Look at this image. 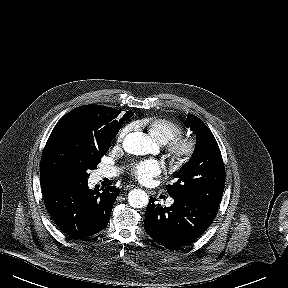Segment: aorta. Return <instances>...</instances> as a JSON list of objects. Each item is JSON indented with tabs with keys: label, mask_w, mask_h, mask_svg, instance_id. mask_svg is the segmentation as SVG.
I'll return each instance as SVG.
<instances>
[{
	"label": "aorta",
	"mask_w": 288,
	"mask_h": 288,
	"mask_svg": "<svg viewBox=\"0 0 288 288\" xmlns=\"http://www.w3.org/2000/svg\"><path fill=\"white\" fill-rule=\"evenodd\" d=\"M123 148L133 155H146L154 149L152 140L141 132L128 134L123 141ZM149 197L141 189H133L128 193V202L133 208H142L148 204Z\"/></svg>",
	"instance_id": "1"
}]
</instances>
